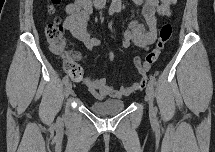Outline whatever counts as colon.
Here are the masks:
<instances>
[{"label":"colon","mask_w":215,"mask_h":152,"mask_svg":"<svg viewBox=\"0 0 215 152\" xmlns=\"http://www.w3.org/2000/svg\"><path fill=\"white\" fill-rule=\"evenodd\" d=\"M62 0H51L47 6V13L54 14L56 7L61 4ZM172 0H164L161 4V12L164 15L169 13V6ZM46 41L49 48L60 55L66 57L65 72L73 79H78L82 75V69L78 63V55L66 48V41L64 38V32L62 26L58 22L50 23L45 29ZM172 37V27L170 24H165L161 27L159 38L155 44V47L150 51L142 62H136V70L140 74H145L150 66L154 64L164 46L170 41Z\"/></svg>","instance_id":"obj_1"}]
</instances>
